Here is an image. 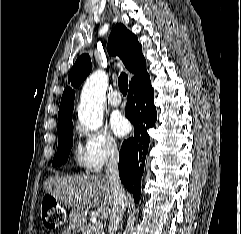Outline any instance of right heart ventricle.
<instances>
[{
  "label": "right heart ventricle",
  "mask_w": 241,
  "mask_h": 234,
  "mask_svg": "<svg viewBox=\"0 0 241 234\" xmlns=\"http://www.w3.org/2000/svg\"><path fill=\"white\" fill-rule=\"evenodd\" d=\"M75 159L78 165L85 166V154L84 150L80 146L76 149Z\"/></svg>",
  "instance_id": "1"
}]
</instances>
